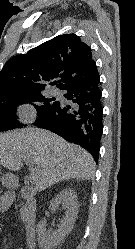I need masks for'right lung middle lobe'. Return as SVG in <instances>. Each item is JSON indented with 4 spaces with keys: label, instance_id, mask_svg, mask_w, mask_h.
Returning a JSON list of instances; mask_svg holds the SVG:
<instances>
[{
    "label": "right lung middle lobe",
    "instance_id": "obj_1",
    "mask_svg": "<svg viewBox=\"0 0 135 249\" xmlns=\"http://www.w3.org/2000/svg\"><path fill=\"white\" fill-rule=\"evenodd\" d=\"M53 101L54 99H45L39 92L0 99V132L23 126L16 120L17 106L26 103L32 104L41 115L56 104ZM40 102L43 104H39Z\"/></svg>",
    "mask_w": 135,
    "mask_h": 249
}]
</instances>
